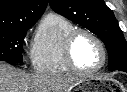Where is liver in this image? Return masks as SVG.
<instances>
[{
	"label": "liver",
	"instance_id": "obj_1",
	"mask_svg": "<svg viewBox=\"0 0 127 92\" xmlns=\"http://www.w3.org/2000/svg\"><path fill=\"white\" fill-rule=\"evenodd\" d=\"M85 77L30 75L0 62V92H70Z\"/></svg>",
	"mask_w": 127,
	"mask_h": 92
}]
</instances>
